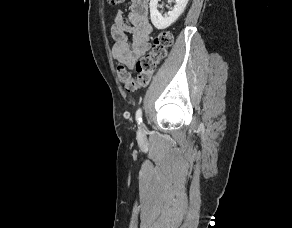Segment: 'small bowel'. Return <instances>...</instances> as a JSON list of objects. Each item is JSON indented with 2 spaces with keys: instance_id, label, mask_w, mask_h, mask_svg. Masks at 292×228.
<instances>
[{
  "instance_id": "obj_1",
  "label": "small bowel",
  "mask_w": 292,
  "mask_h": 228,
  "mask_svg": "<svg viewBox=\"0 0 292 228\" xmlns=\"http://www.w3.org/2000/svg\"><path fill=\"white\" fill-rule=\"evenodd\" d=\"M148 4L149 0H131L127 14L118 11L115 16L111 28L112 54L124 68H134L136 60L150 48L152 25L148 18Z\"/></svg>"
}]
</instances>
